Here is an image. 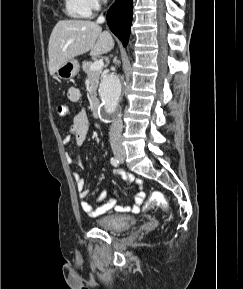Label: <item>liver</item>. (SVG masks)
<instances>
[{
	"label": "liver",
	"mask_w": 243,
	"mask_h": 289,
	"mask_svg": "<svg viewBox=\"0 0 243 289\" xmlns=\"http://www.w3.org/2000/svg\"><path fill=\"white\" fill-rule=\"evenodd\" d=\"M114 40L108 31L93 21L60 20L49 39V73L54 75L67 61L90 51L99 56L111 51Z\"/></svg>",
	"instance_id": "liver-1"
}]
</instances>
